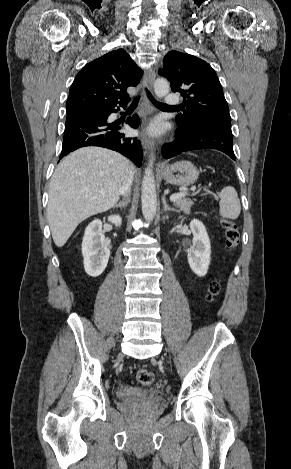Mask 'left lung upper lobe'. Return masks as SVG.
Wrapping results in <instances>:
<instances>
[{"label": "left lung upper lobe", "instance_id": "1", "mask_svg": "<svg viewBox=\"0 0 291 469\" xmlns=\"http://www.w3.org/2000/svg\"><path fill=\"white\" fill-rule=\"evenodd\" d=\"M159 73L171 82L172 91L184 98L186 109L175 119L179 128L199 122L231 127L223 89L207 62L187 53L171 51L165 56Z\"/></svg>", "mask_w": 291, "mask_h": 469}]
</instances>
